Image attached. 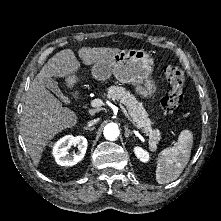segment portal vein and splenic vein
Instances as JSON below:
<instances>
[{
    "instance_id": "obj_1",
    "label": "portal vein and splenic vein",
    "mask_w": 221,
    "mask_h": 221,
    "mask_svg": "<svg viewBox=\"0 0 221 221\" xmlns=\"http://www.w3.org/2000/svg\"><path fill=\"white\" fill-rule=\"evenodd\" d=\"M103 104H104L103 100H102V99H99V98H96V99L92 100L91 103H90L91 107H93V108L101 107ZM119 106H120V108L122 109V111H123V113L125 114V116L128 118V120L133 123V121H132L130 115L128 114V112H127V110L124 108V106H123L121 103H119ZM133 124H134V123H133ZM134 125H135V124H134ZM135 126L137 127V129H140L137 125H135ZM143 133H145V132L143 131ZM145 134L148 135L147 133H145Z\"/></svg>"
}]
</instances>
